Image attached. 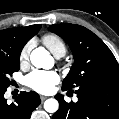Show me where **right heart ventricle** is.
Segmentation results:
<instances>
[{
    "instance_id": "obj_1",
    "label": "right heart ventricle",
    "mask_w": 119,
    "mask_h": 119,
    "mask_svg": "<svg viewBox=\"0 0 119 119\" xmlns=\"http://www.w3.org/2000/svg\"><path fill=\"white\" fill-rule=\"evenodd\" d=\"M42 43L55 55H64L66 53L65 42L55 34H45L42 36Z\"/></svg>"
}]
</instances>
